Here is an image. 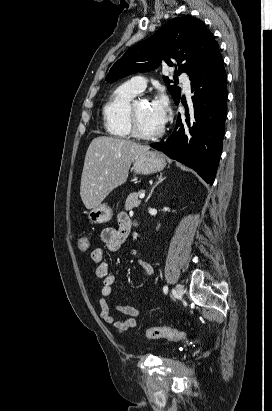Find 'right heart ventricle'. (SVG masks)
<instances>
[{"label":"right heart ventricle","instance_id":"1","mask_svg":"<svg viewBox=\"0 0 272 411\" xmlns=\"http://www.w3.org/2000/svg\"><path fill=\"white\" fill-rule=\"evenodd\" d=\"M139 92L129 82L119 85L103 106L102 114L106 131L115 137H130L128 107Z\"/></svg>","mask_w":272,"mask_h":411}]
</instances>
